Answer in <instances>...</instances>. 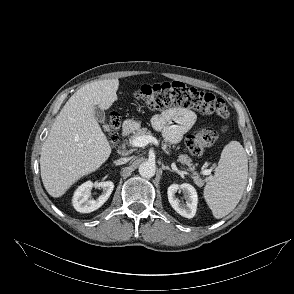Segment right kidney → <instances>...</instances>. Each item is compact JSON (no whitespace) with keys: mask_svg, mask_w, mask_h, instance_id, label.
<instances>
[{"mask_svg":"<svg viewBox=\"0 0 294 294\" xmlns=\"http://www.w3.org/2000/svg\"><path fill=\"white\" fill-rule=\"evenodd\" d=\"M93 186L101 187L103 189L102 195L96 200L90 198V190ZM114 189L112 181H104L93 184L87 181L80 185L74 192L72 203L74 208L80 213H90L100 208L110 197Z\"/></svg>","mask_w":294,"mask_h":294,"instance_id":"ca27d5eb","label":"right kidney"}]
</instances>
